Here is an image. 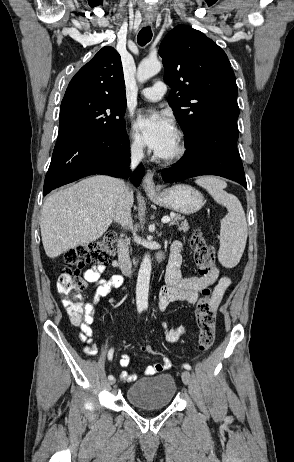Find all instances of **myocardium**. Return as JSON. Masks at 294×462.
I'll use <instances>...</instances> for the list:
<instances>
[{
	"instance_id": "obj_1",
	"label": "myocardium",
	"mask_w": 294,
	"mask_h": 462,
	"mask_svg": "<svg viewBox=\"0 0 294 462\" xmlns=\"http://www.w3.org/2000/svg\"><path fill=\"white\" fill-rule=\"evenodd\" d=\"M187 152V144L185 137L181 132L176 133V149L173 153L167 156H160V160L164 163H175L181 160Z\"/></svg>"
}]
</instances>
